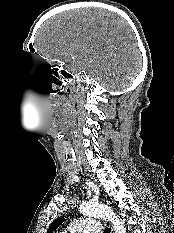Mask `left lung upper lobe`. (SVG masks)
<instances>
[{"label": "left lung upper lobe", "mask_w": 174, "mask_h": 233, "mask_svg": "<svg viewBox=\"0 0 174 233\" xmlns=\"http://www.w3.org/2000/svg\"><path fill=\"white\" fill-rule=\"evenodd\" d=\"M63 221H64V217L63 216L58 217L57 219H55L51 223V225H50L47 233H53V231L56 230L62 224Z\"/></svg>", "instance_id": "5c2ea615"}]
</instances>
